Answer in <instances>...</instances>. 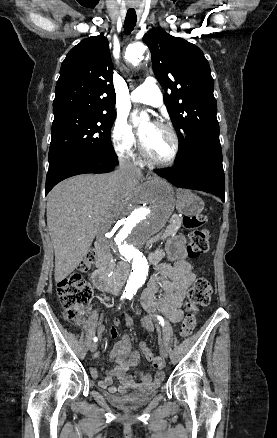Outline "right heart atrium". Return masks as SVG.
<instances>
[{"mask_svg":"<svg viewBox=\"0 0 277 438\" xmlns=\"http://www.w3.org/2000/svg\"><path fill=\"white\" fill-rule=\"evenodd\" d=\"M113 144L119 155L132 158L135 155L137 140L124 115H119L112 131Z\"/></svg>","mask_w":277,"mask_h":438,"instance_id":"obj_1","label":"right heart atrium"}]
</instances>
